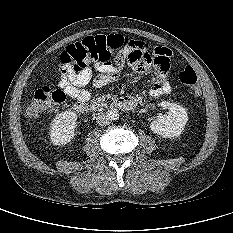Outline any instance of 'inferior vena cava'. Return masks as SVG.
<instances>
[{
  "instance_id": "1",
  "label": "inferior vena cava",
  "mask_w": 233,
  "mask_h": 233,
  "mask_svg": "<svg viewBox=\"0 0 233 233\" xmlns=\"http://www.w3.org/2000/svg\"><path fill=\"white\" fill-rule=\"evenodd\" d=\"M96 122L100 126H106L110 124V120L108 119L107 115L103 112L97 114Z\"/></svg>"
}]
</instances>
